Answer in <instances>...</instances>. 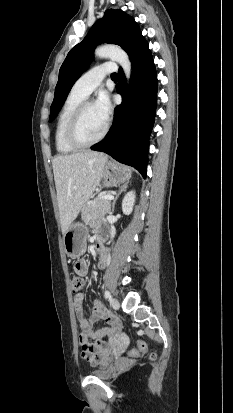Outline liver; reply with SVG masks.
<instances>
[{
  "label": "liver",
  "mask_w": 233,
  "mask_h": 413,
  "mask_svg": "<svg viewBox=\"0 0 233 413\" xmlns=\"http://www.w3.org/2000/svg\"><path fill=\"white\" fill-rule=\"evenodd\" d=\"M107 160V155L89 150L54 157L52 166L63 234L99 185Z\"/></svg>",
  "instance_id": "1"
}]
</instances>
